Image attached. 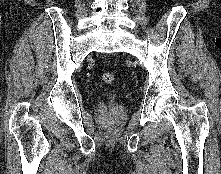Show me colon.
Returning a JSON list of instances; mask_svg holds the SVG:
<instances>
[{
	"label": "colon",
	"instance_id": "1",
	"mask_svg": "<svg viewBox=\"0 0 221 174\" xmlns=\"http://www.w3.org/2000/svg\"><path fill=\"white\" fill-rule=\"evenodd\" d=\"M102 80L104 83L111 85L115 81V76L113 73L106 71L102 74Z\"/></svg>",
	"mask_w": 221,
	"mask_h": 174
}]
</instances>
